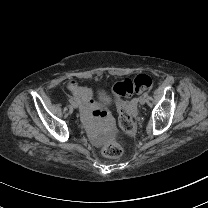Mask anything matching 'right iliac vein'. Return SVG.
Here are the masks:
<instances>
[{"instance_id": "obj_1", "label": "right iliac vein", "mask_w": 208, "mask_h": 208, "mask_svg": "<svg viewBox=\"0 0 208 208\" xmlns=\"http://www.w3.org/2000/svg\"><path fill=\"white\" fill-rule=\"evenodd\" d=\"M72 106H73V108H78V103H77V102H74V103L72 104Z\"/></svg>"}]
</instances>
